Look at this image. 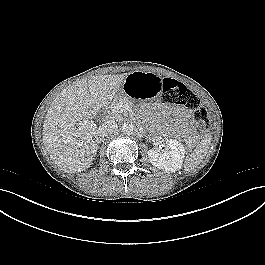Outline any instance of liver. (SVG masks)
Instances as JSON below:
<instances>
[{
  "mask_svg": "<svg viewBox=\"0 0 265 265\" xmlns=\"http://www.w3.org/2000/svg\"><path fill=\"white\" fill-rule=\"evenodd\" d=\"M127 73L100 75L69 85L52 102L43 124V143L64 172L90 167L98 150V130L90 118L110 104Z\"/></svg>",
  "mask_w": 265,
  "mask_h": 265,
  "instance_id": "liver-1",
  "label": "liver"
}]
</instances>
